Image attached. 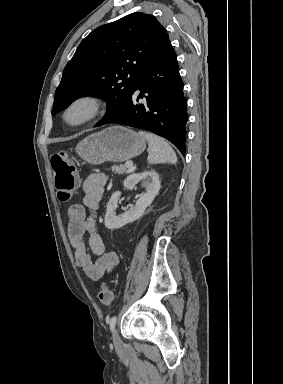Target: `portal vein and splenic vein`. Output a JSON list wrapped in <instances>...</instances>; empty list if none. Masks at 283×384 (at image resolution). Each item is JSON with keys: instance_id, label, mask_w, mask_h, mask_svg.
Masks as SVG:
<instances>
[{"instance_id": "1", "label": "portal vein and splenic vein", "mask_w": 283, "mask_h": 384, "mask_svg": "<svg viewBox=\"0 0 283 384\" xmlns=\"http://www.w3.org/2000/svg\"><path fill=\"white\" fill-rule=\"evenodd\" d=\"M125 168H133V162H125Z\"/></svg>"}]
</instances>
